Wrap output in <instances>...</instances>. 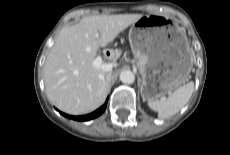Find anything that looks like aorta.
I'll return each mask as SVG.
<instances>
[{
    "label": "aorta",
    "mask_w": 230,
    "mask_h": 155,
    "mask_svg": "<svg viewBox=\"0 0 230 155\" xmlns=\"http://www.w3.org/2000/svg\"><path fill=\"white\" fill-rule=\"evenodd\" d=\"M120 81L125 84H132L135 81V75L131 70H123L120 73Z\"/></svg>",
    "instance_id": "762f6f07"
}]
</instances>
